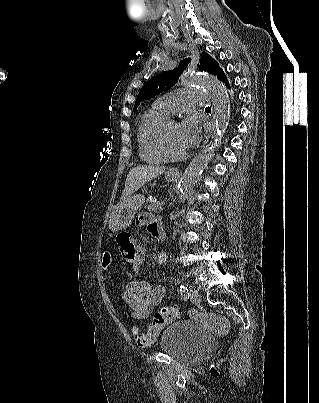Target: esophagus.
<instances>
[{
  "instance_id": "esophagus-1",
  "label": "esophagus",
  "mask_w": 319,
  "mask_h": 403,
  "mask_svg": "<svg viewBox=\"0 0 319 403\" xmlns=\"http://www.w3.org/2000/svg\"><path fill=\"white\" fill-rule=\"evenodd\" d=\"M215 129V120L214 117L212 119V128L209 131V133L207 134V136L205 137L204 143H203V147L206 145V143L209 141L210 136L212 135L213 131ZM170 171L176 173V174H180V170L178 168H172L170 169Z\"/></svg>"
}]
</instances>
